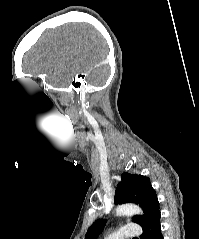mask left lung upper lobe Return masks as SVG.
<instances>
[{
	"label": "left lung upper lobe",
	"mask_w": 199,
	"mask_h": 239,
	"mask_svg": "<svg viewBox=\"0 0 199 239\" xmlns=\"http://www.w3.org/2000/svg\"><path fill=\"white\" fill-rule=\"evenodd\" d=\"M117 185L114 197L115 204L135 203L142 207L143 216L136 215L132 221L144 227L159 211V202L150 179L146 176L124 173ZM106 220L99 219L88 229L85 239H96L102 232Z\"/></svg>",
	"instance_id": "5c2ea615"
}]
</instances>
